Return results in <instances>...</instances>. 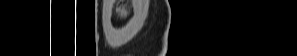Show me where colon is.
Returning a JSON list of instances; mask_svg holds the SVG:
<instances>
[{"instance_id":"5ec220e1","label":"colon","mask_w":297,"mask_h":56,"mask_svg":"<svg viewBox=\"0 0 297 56\" xmlns=\"http://www.w3.org/2000/svg\"><path fill=\"white\" fill-rule=\"evenodd\" d=\"M118 12L121 16H124L127 14L128 12V6L127 4H123L119 9H118Z\"/></svg>"}]
</instances>
